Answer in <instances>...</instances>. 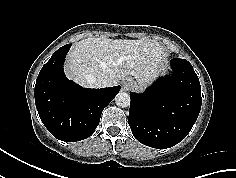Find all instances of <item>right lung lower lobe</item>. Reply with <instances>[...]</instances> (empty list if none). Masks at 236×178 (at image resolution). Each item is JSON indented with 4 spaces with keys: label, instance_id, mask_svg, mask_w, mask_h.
Here are the masks:
<instances>
[{
    "label": "right lung lower lobe",
    "instance_id": "right-lung-lower-lobe-1",
    "mask_svg": "<svg viewBox=\"0 0 236 178\" xmlns=\"http://www.w3.org/2000/svg\"><path fill=\"white\" fill-rule=\"evenodd\" d=\"M71 44L59 48L42 67L35 85V104L48 131L62 141H80L93 134L103 109L120 86L82 88L65 77L63 63Z\"/></svg>",
    "mask_w": 236,
    "mask_h": 178
}]
</instances>
